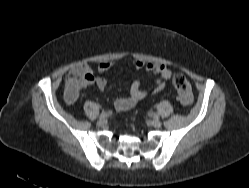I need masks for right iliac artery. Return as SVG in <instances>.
Listing matches in <instances>:
<instances>
[{
	"instance_id": "right-iliac-artery-1",
	"label": "right iliac artery",
	"mask_w": 249,
	"mask_h": 188,
	"mask_svg": "<svg viewBox=\"0 0 249 188\" xmlns=\"http://www.w3.org/2000/svg\"><path fill=\"white\" fill-rule=\"evenodd\" d=\"M107 116L106 112H102L99 116L100 119H104Z\"/></svg>"
}]
</instances>
